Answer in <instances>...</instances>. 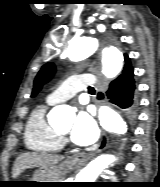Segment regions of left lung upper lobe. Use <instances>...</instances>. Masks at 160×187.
<instances>
[{
	"label": "left lung upper lobe",
	"instance_id": "5c2ea615",
	"mask_svg": "<svg viewBox=\"0 0 160 187\" xmlns=\"http://www.w3.org/2000/svg\"><path fill=\"white\" fill-rule=\"evenodd\" d=\"M124 56L128 57L127 54H125ZM54 72L55 67L53 63H48L41 68L34 81L32 97H34L38 93L44 83L51 79Z\"/></svg>",
	"mask_w": 160,
	"mask_h": 187
}]
</instances>
